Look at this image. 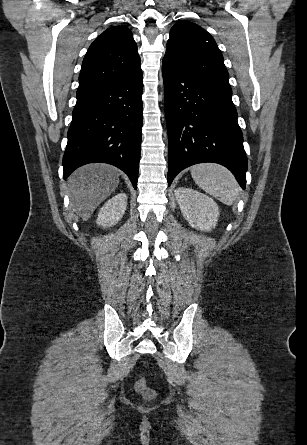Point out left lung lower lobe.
I'll list each match as a JSON object with an SVG mask.
<instances>
[{
    "label": "left lung lower lobe",
    "mask_w": 307,
    "mask_h": 445,
    "mask_svg": "<svg viewBox=\"0 0 307 445\" xmlns=\"http://www.w3.org/2000/svg\"><path fill=\"white\" fill-rule=\"evenodd\" d=\"M169 140L168 183L186 167L224 165L245 189L247 157L232 95L202 85L174 64L162 63Z\"/></svg>",
    "instance_id": "1"
}]
</instances>
